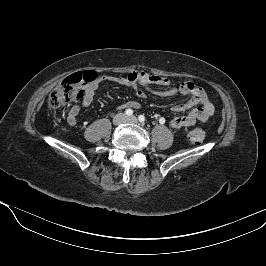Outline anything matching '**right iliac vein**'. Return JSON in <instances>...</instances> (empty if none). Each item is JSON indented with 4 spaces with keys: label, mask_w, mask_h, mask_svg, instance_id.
Here are the masks:
<instances>
[{
    "label": "right iliac vein",
    "mask_w": 266,
    "mask_h": 266,
    "mask_svg": "<svg viewBox=\"0 0 266 266\" xmlns=\"http://www.w3.org/2000/svg\"><path fill=\"white\" fill-rule=\"evenodd\" d=\"M126 120H127L126 116L123 113H119L114 117L113 123L115 125H119L125 122Z\"/></svg>",
    "instance_id": "63e3f726"
}]
</instances>
